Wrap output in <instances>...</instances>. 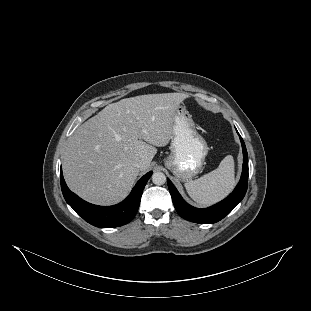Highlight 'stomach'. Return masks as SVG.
Instances as JSON below:
<instances>
[{
    "mask_svg": "<svg viewBox=\"0 0 311 311\" xmlns=\"http://www.w3.org/2000/svg\"><path fill=\"white\" fill-rule=\"evenodd\" d=\"M169 149L165 167L181 182L191 181L203 169L209 148L184 105H179L176 110Z\"/></svg>",
    "mask_w": 311,
    "mask_h": 311,
    "instance_id": "0dacf381",
    "label": "stomach"
}]
</instances>
